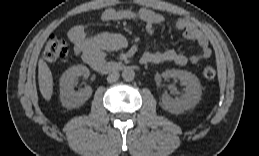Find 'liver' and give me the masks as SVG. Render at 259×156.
<instances>
[{"mask_svg":"<svg viewBox=\"0 0 259 156\" xmlns=\"http://www.w3.org/2000/svg\"><path fill=\"white\" fill-rule=\"evenodd\" d=\"M38 82L43 98L49 101L53 94V77L49 66L43 59L38 61Z\"/></svg>","mask_w":259,"mask_h":156,"instance_id":"1","label":"liver"}]
</instances>
